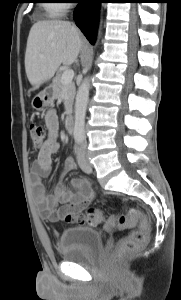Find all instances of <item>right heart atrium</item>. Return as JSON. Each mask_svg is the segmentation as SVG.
<instances>
[{"mask_svg":"<svg viewBox=\"0 0 181 300\" xmlns=\"http://www.w3.org/2000/svg\"><path fill=\"white\" fill-rule=\"evenodd\" d=\"M59 1H69V0H59ZM60 4H62V3H60ZM62 5H64L65 8H66V5H65V4H62Z\"/></svg>","mask_w":181,"mask_h":300,"instance_id":"d8ad5b80","label":"right heart atrium"}]
</instances>
